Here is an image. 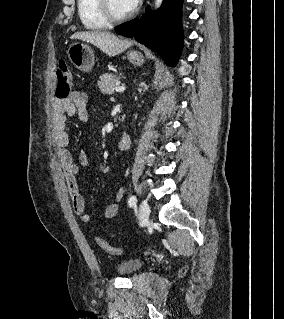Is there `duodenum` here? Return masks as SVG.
Masks as SVG:
<instances>
[{"instance_id": "duodenum-1", "label": "duodenum", "mask_w": 284, "mask_h": 319, "mask_svg": "<svg viewBox=\"0 0 284 319\" xmlns=\"http://www.w3.org/2000/svg\"><path fill=\"white\" fill-rule=\"evenodd\" d=\"M131 144V137L128 134H125L122 136L120 141L117 144V148L119 150H127L130 147Z\"/></svg>"}]
</instances>
